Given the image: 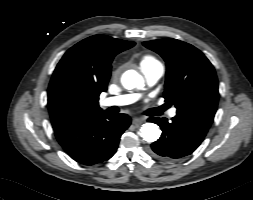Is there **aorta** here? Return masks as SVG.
I'll return each mask as SVG.
<instances>
[{
    "mask_svg": "<svg viewBox=\"0 0 253 200\" xmlns=\"http://www.w3.org/2000/svg\"><path fill=\"white\" fill-rule=\"evenodd\" d=\"M122 85L126 89H134L136 87H142L144 85L143 78L135 71H127L122 76ZM140 135L143 140L147 142H154L159 139L161 130L157 124L148 122L142 125L140 128Z\"/></svg>",
    "mask_w": 253,
    "mask_h": 200,
    "instance_id": "obj_1",
    "label": "aorta"
}]
</instances>
